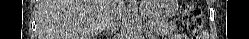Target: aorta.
<instances>
[{
	"instance_id": "1",
	"label": "aorta",
	"mask_w": 249,
	"mask_h": 39,
	"mask_svg": "<svg viewBox=\"0 0 249 39\" xmlns=\"http://www.w3.org/2000/svg\"><path fill=\"white\" fill-rule=\"evenodd\" d=\"M126 14V38L136 39L139 36L140 18L138 14V1L129 0Z\"/></svg>"
}]
</instances>
